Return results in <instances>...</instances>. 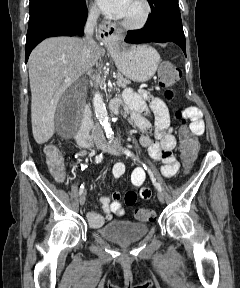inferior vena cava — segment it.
<instances>
[{
    "instance_id": "602c4592",
    "label": "inferior vena cava",
    "mask_w": 240,
    "mask_h": 288,
    "mask_svg": "<svg viewBox=\"0 0 240 288\" xmlns=\"http://www.w3.org/2000/svg\"><path fill=\"white\" fill-rule=\"evenodd\" d=\"M99 15H100V11L98 8L96 7L91 8L88 13V18L85 24L84 32H85L86 38L84 39L82 61L87 68V72L91 71L90 53H91L92 47L96 45V42L93 40L92 36L94 33V29L97 25V19ZM84 125H88L89 127L93 128L92 137L95 141L104 139L103 132L101 130V127L98 124L93 125L92 121L88 118L87 120H84Z\"/></svg>"
}]
</instances>
